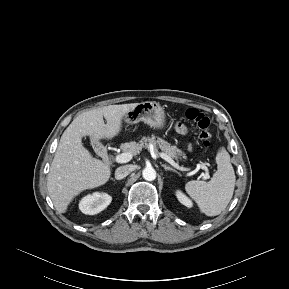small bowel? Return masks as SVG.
<instances>
[{
  "mask_svg": "<svg viewBox=\"0 0 289 289\" xmlns=\"http://www.w3.org/2000/svg\"><path fill=\"white\" fill-rule=\"evenodd\" d=\"M177 129H178V131H179L180 133H185V132H186V129H185V127H184L183 125H178V126H177Z\"/></svg>",
  "mask_w": 289,
  "mask_h": 289,
  "instance_id": "obj_1",
  "label": "small bowel"
}]
</instances>
